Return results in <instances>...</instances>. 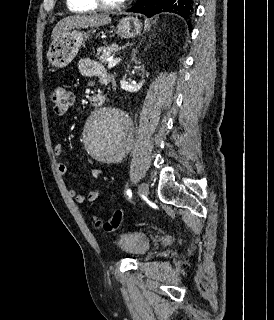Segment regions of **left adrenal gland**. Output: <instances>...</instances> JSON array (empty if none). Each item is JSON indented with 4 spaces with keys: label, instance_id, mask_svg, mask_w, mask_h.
I'll list each match as a JSON object with an SVG mask.
<instances>
[{
    "label": "left adrenal gland",
    "instance_id": "left-adrenal-gland-1",
    "mask_svg": "<svg viewBox=\"0 0 274 320\" xmlns=\"http://www.w3.org/2000/svg\"><path fill=\"white\" fill-rule=\"evenodd\" d=\"M132 62H137V60H135V54H133Z\"/></svg>",
    "mask_w": 274,
    "mask_h": 320
}]
</instances>
